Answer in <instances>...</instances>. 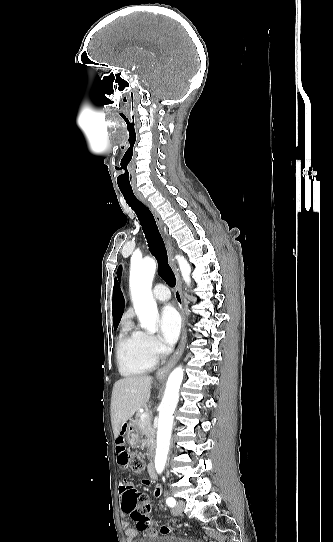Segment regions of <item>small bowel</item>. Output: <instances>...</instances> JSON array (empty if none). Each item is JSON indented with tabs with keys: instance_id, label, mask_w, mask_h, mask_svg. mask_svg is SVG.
Returning a JSON list of instances; mask_svg holds the SVG:
<instances>
[{
	"instance_id": "1",
	"label": "small bowel",
	"mask_w": 333,
	"mask_h": 542,
	"mask_svg": "<svg viewBox=\"0 0 333 542\" xmlns=\"http://www.w3.org/2000/svg\"><path fill=\"white\" fill-rule=\"evenodd\" d=\"M126 427L124 426L122 430L120 431V434L117 438V460L118 464L120 466H126L127 464V451L125 448V435H126ZM143 486L148 487L151 484V481L148 479L143 480L142 482ZM131 491V485L128 482V480L121 476L118 481V494L121 502V514L122 517L125 519L127 516L125 515L128 513L127 508H123L122 500L123 497H129ZM163 493V487L160 484H156L153 490V494L155 497H160ZM140 497L142 499H145L147 497V494L145 492H142L140 494ZM122 527L124 529L125 535H126V542H137L138 537V530L131 527L130 523L126 520L122 521Z\"/></svg>"
}]
</instances>
